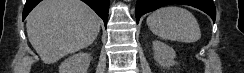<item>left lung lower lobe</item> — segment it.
I'll return each mask as SVG.
<instances>
[{
    "label": "left lung lower lobe",
    "instance_id": "1",
    "mask_svg": "<svg viewBox=\"0 0 244 73\" xmlns=\"http://www.w3.org/2000/svg\"><path fill=\"white\" fill-rule=\"evenodd\" d=\"M169 4H184L196 7L207 13L213 21L216 18V9L213 0H137L136 3V20L145 13L154 11L162 6Z\"/></svg>",
    "mask_w": 244,
    "mask_h": 73
}]
</instances>
